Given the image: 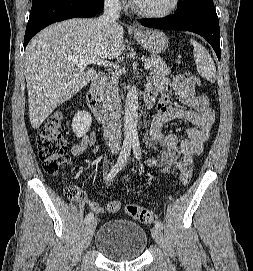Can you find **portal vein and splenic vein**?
<instances>
[{
  "mask_svg": "<svg viewBox=\"0 0 253 271\" xmlns=\"http://www.w3.org/2000/svg\"><path fill=\"white\" fill-rule=\"evenodd\" d=\"M92 63H95V64H102V65H106V66H112L113 68H119V66H117L116 64H112V63H108L107 61H93ZM88 64V62H84V61H81V62H77V67L78 68H84L86 65ZM152 66V64L150 62H146L144 64V68L145 69H149L150 67Z\"/></svg>",
  "mask_w": 253,
  "mask_h": 271,
  "instance_id": "18ae733b",
  "label": "portal vein and splenic vein"
}]
</instances>
